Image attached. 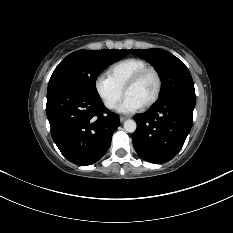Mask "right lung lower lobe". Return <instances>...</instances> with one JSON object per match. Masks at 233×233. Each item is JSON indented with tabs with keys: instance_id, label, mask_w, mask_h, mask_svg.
I'll return each instance as SVG.
<instances>
[{
	"instance_id": "obj_1",
	"label": "right lung lower lobe",
	"mask_w": 233,
	"mask_h": 233,
	"mask_svg": "<svg viewBox=\"0 0 233 233\" xmlns=\"http://www.w3.org/2000/svg\"><path fill=\"white\" fill-rule=\"evenodd\" d=\"M46 113L55 144L77 165L101 159L120 124L119 116L110 112L100 97L70 89L48 91Z\"/></svg>"
}]
</instances>
